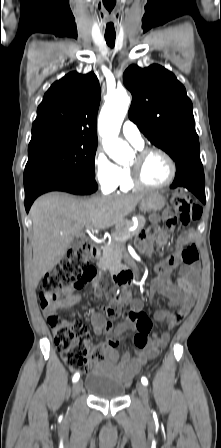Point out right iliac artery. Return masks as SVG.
I'll use <instances>...</instances> for the list:
<instances>
[{"label": "right iliac artery", "mask_w": 221, "mask_h": 448, "mask_svg": "<svg viewBox=\"0 0 221 448\" xmlns=\"http://www.w3.org/2000/svg\"><path fill=\"white\" fill-rule=\"evenodd\" d=\"M79 377H80L79 373H75L73 378H72V381L73 382H77L79 380Z\"/></svg>", "instance_id": "1"}]
</instances>
